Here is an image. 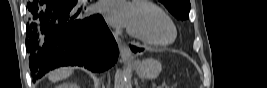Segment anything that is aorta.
<instances>
[{
	"label": "aorta",
	"instance_id": "aorta-1",
	"mask_svg": "<svg viewBox=\"0 0 267 88\" xmlns=\"http://www.w3.org/2000/svg\"><path fill=\"white\" fill-rule=\"evenodd\" d=\"M114 88H129L125 73L121 69H118L115 73Z\"/></svg>",
	"mask_w": 267,
	"mask_h": 88
}]
</instances>
